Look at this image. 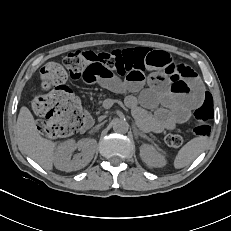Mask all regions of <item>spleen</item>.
Wrapping results in <instances>:
<instances>
[{"instance_id":"obj_1","label":"spleen","mask_w":231,"mask_h":231,"mask_svg":"<svg viewBox=\"0 0 231 231\" xmlns=\"http://www.w3.org/2000/svg\"><path fill=\"white\" fill-rule=\"evenodd\" d=\"M207 138L199 136L187 142L174 159V167L179 169L191 164L206 148Z\"/></svg>"}]
</instances>
